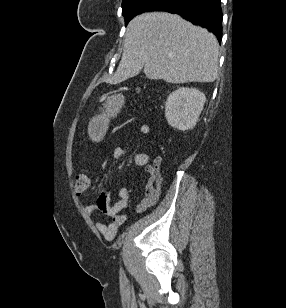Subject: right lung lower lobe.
<instances>
[{"label":"right lung lower lobe","instance_id":"obj_1","mask_svg":"<svg viewBox=\"0 0 286 308\" xmlns=\"http://www.w3.org/2000/svg\"><path fill=\"white\" fill-rule=\"evenodd\" d=\"M153 11L178 14L196 25L208 28L221 42V0H168Z\"/></svg>","mask_w":286,"mask_h":308}]
</instances>
